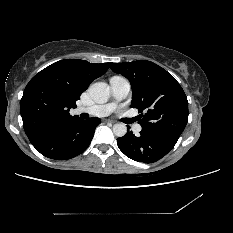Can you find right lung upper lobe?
Segmentation results:
<instances>
[{"label": "right lung upper lobe", "instance_id": "1", "mask_svg": "<svg viewBox=\"0 0 233 233\" xmlns=\"http://www.w3.org/2000/svg\"><path fill=\"white\" fill-rule=\"evenodd\" d=\"M109 63L65 59L51 64L27 84L20 103L26 135L39 142L78 116L69 114L93 80L103 75Z\"/></svg>", "mask_w": 233, "mask_h": 233}]
</instances>
